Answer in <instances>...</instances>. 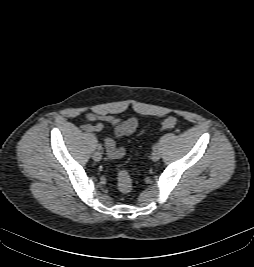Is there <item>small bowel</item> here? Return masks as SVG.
<instances>
[{"label": "small bowel", "mask_w": 254, "mask_h": 267, "mask_svg": "<svg viewBox=\"0 0 254 267\" xmlns=\"http://www.w3.org/2000/svg\"><path fill=\"white\" fill-rule=\"evenodd\" d=\"M85 118L87 123L83 125V129L87 132L101 131L105 124L113 126L114 137L105 136L104 138L107 154L112 159L121 158L125 155V148L123 146L117 147L115 138H122L131 135L138 126L136 118H129L122 121L112 115H98L94 113L87 114Z\"/></svg>", "instance_id": "obj_1"}]
</instances>
